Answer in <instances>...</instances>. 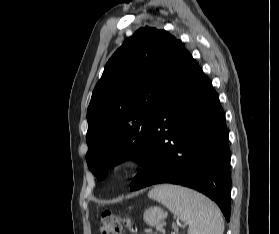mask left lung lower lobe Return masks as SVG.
Returning <instances> with one entry per match:
<instances>
[{"instance_id": "1", "label": "left lung lower lobe", "mask_w": 279, "mask_h": 234, "mask_svg": "<svg viewBox=\"0 0 279 234\" xmlns=\"http://www.w3.org/2000/svg\"><path fill=\"white\" fill-rule=\"evenodd\" d=\"M131 191L157 183L198 190L230 220V150L218 95L184 48L154 113L149 149Z\"/></svg>"}]
</instances>
